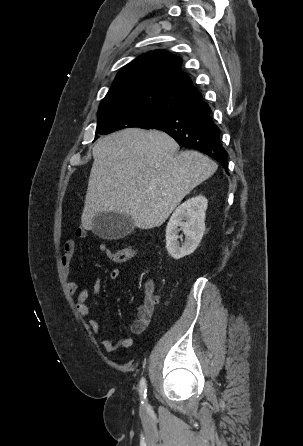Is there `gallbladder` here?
<instances>
[{
	"label": "gallbladder",
	"mask_w": 303,
	"mask_h": 446,
	"mask_svg": "<svg viewBox=\"0 0 303 446\" xmlns=\"http://www.w3.org/2000/svg\"><path fill=\"white\" fill-rule=\"evenodd\" d=\"M133 230V221L118 213H99L92 224L94 234L105 239L123 238Z\"/></svg>",
	"instance_id": "bac80fb5"
}]
</instances>
